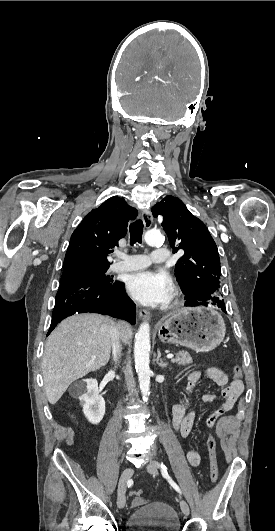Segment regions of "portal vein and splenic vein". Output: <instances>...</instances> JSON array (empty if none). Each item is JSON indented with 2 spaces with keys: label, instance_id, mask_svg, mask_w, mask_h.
<instances>
[{
  "label": "portal vein and splenic vein",
  "instance_id": "1",
  "mask_svg": "<svg viewBox=\"0 0 275 531\" xmlns=\"http://www.w3.org/2000/svg\"><path fill=\"white\" fill-rule=\"evenodd\" d=\"M174 355H167V359H173ZM91 359H97V357H91Z\"/></svg>",
  "mask_w": 275,
  "mask_h": 531
}]
</instances>
